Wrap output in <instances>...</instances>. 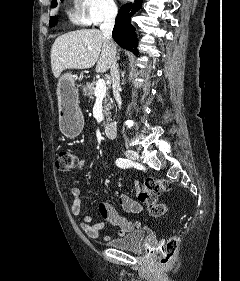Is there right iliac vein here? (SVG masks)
<instances>
[{
	"mask_svg": "<svg viewBox=\"0 0 240 281\" xmlns=\"http://www.w3.org/2000/svg\"><path fill=\"white\" fill-rule=\"evenodd\" d=\"M123 153L130 160H138L139 159L138 153L133 151V150L126 149V150L123 151Z\"/></svg>",
	"mask_w": 240,
	"mask_h": 281,
	"instance_id": "obj_1",
	"label": "right iliac vein"
}]
</instances>
